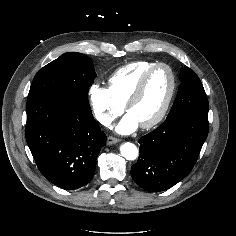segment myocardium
<instances>
[{
	"mask_svg": "<svg viewBox=\"0 0 236 236\" xmlns=\"http://www.w3.org/2000/svg\"><path fill=\"white\" fill-rule=\"evenodd\" d=\"M159 68H165L168 70V72L170 74V78H171L170 90H169L167 98L163 104V107L160 110V112L158 113V115L154 119H152L151 121L141 124V127L143 129L153 128V127L157 126L165 118V116L170 108V105L172 103V100L174 98L176 86H177L176 75H175L173 69L166 63H156L153 66H151L150 68H148L144 72L142 77L140 78L135 89L133 90V92L131 93V95L129 96L128 100L125 103V110L128 112L130 107L134 103H136L137 100L141 97V95L145 89V86L147 84V81H148L149 77L151 76V74Z\"/></svg>",
	"mask_w": 236,
	"mask_h": 236,
	"instance_id": "1",
	"label": "myocardium"
}]
</instances>
